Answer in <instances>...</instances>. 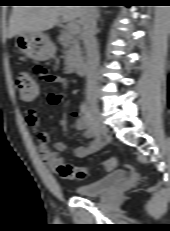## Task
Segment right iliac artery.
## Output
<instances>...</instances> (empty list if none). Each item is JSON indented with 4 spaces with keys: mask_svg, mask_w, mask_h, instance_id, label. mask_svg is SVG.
<instances>
[{
    "mask_svg": "<svg viewBox=\"0 0 170 231\" xmlns=\"http://www.w3.org/2000/svg\"><path fill=\"white\" fill-rule=\"evenodd\" d=\"M81 114H82V117L86 120L89 130L97 138H100V133H99L98 127H97L96 123L94 122V120L90 114V111H89V108H88V105L86 102H83L81 104Z\"/></svg>",
    "mask_w": 170,
    "mask_h": 231,
    "instance_id": "obj_1",
    "label": "right iliac artery"
}]
</instances>
